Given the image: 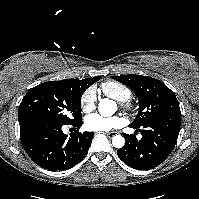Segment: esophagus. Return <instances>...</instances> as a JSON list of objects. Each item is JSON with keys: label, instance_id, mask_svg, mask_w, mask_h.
Wrapping results in <instances>:
<instances>
[{"label": "esophagus", "instance_id": "esophagus-1", "mask_svg": "<svg viewBox=\"0 0 199 199\" xmlns=\"http://www.w3.org/2000/svg\"><path fill=\"white\" fill-rule=\"evenodd\" d=\"M106 135H107L109 138H112L113 136L116 135V132H107Z\"/></svg>", "mask_w": 199, "mask_h": 199}]
</instances>
